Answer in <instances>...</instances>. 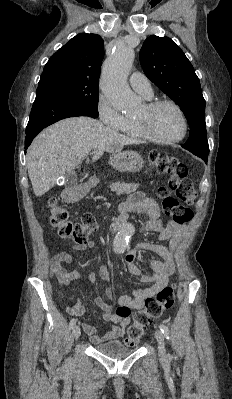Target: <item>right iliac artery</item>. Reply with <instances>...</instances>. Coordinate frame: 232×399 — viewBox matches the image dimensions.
Wrapping results in <instances>:
<instances>
[{"label":"right iliac artery","mask_w":232,"mask_h":399,"mask_svg":"<svg viewBox=\"0 0 232 399\" xmlns=\"http://www.w3.org/2000/svg\"><path fill=\"white\" fill-rule=\"evenodd\" d=\"M76 322H77V319H76V318H73V319L70 321V323H69V328H70V329H74L75 326H76Z\"/></svg>","instance_id":"right-iliac-artery-1"}]
</instances>
